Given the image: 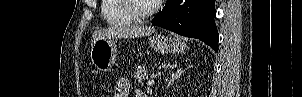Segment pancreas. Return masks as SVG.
Here are the masks:
<instances>
[{
  "instance_id": "cf45deb5",
  "label": "pancreas",
  "mask_w": 302,
  "mask_h": 97,
  "mask_svg": "<svg viewBox=\"0 0 302 97\" xmlns=\"http://www.w3.org/2000/svg\"><path fill=\"white\" fill-rule=\"evenodd\" d=\"M148 68L146 65L138 66L135 69L134 77L138 80V82H142L143 80L148 78Z\"/></svg>"
}]
</instances>
